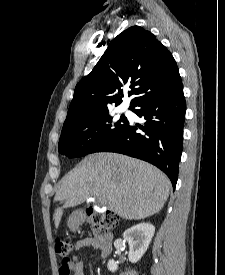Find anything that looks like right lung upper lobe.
Instances as JSON below:
<instances>
[{
	"label": "right lung upper lobe",
	"instance_id": "obj_1",
	"mask_svg": "<svg viewBox=\"0 0 225 275\" xmlns=\"http://www.w3.org/2000/svg\"><path fill=\"white\" fill-rule=\"evenodd\" d=\"M179 81L169 50L151 32L130 27L112 40L94 69L76 85L63 127L121 104L124 89H131L132 108Z\"/></svg>",
	"mask_w": 225,
	"mask_h": 275
}]
</instances>
